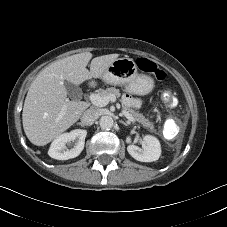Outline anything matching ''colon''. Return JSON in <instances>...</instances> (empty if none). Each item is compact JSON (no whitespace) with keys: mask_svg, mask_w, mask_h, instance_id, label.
<instances>
[{"mask_svg":"<svg viewBox=\"0 0 227 227\" xmlns=\"http://www.w3.org/2000/svg\"><path fill=\"white\" fill-rule=\"evenodd\" d=\"M137 66L144 73L153 74L157 80L165 79V72L158 69L154 62L146 58H140L137 61ZM161 100L168 105H176L177 99L174 93L168 87H162L159 90Z\"/></svg>","mask_w":227,"mask_h":227,"instance_id":"obj_1","label":"colon"}]
</instances>
